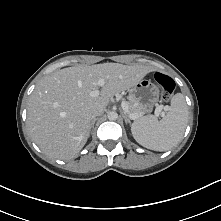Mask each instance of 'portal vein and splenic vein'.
Here are the masks:
<instances>
[{"mask_svg": "<svg viewBox=\"0 0 221 221\" xmlns=\"http://www.w3.org/2000/svg\"><path fill=\"white\" fill-rule=\"evenodd\" d=\"M104 84H105V80H104V79H100V80L98 81V85H99V86L102 87V86H104ZM99 93H100L99 90L96 89V90H93L90 95H91L92 97H97V96L99 95ZM121 106H122V109L124 110V112L128 114V104H127V102L122 101ZM162 109H163L162 106H157V107H156V109H155V115H156L157 117L161 114V110H162ZM128 115H129V117H130L132 120H135V119H137V118L140 117V115H137V114H128Z\"/></svg>", "mask_w": 221, "mask_h": 221, "instance_id": "portal-vein-and-splenic-vein-1", "label": "portal vein and splenic vein"}]
</instances>
